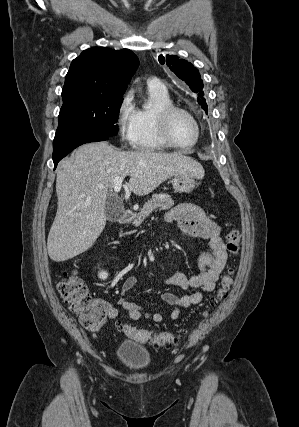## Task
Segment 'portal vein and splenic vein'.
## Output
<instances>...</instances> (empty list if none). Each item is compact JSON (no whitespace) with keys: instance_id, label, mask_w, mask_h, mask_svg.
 <instances>
[{"instance_id":"1","label":"portal vein and splenic vein","mask_w":299,"mask_h":427,"mask_svg":"<svg viewBox=\"0 0 299 427\" xmlns=\"http://www.w3.org/2000/svg\"><path fill=\"white\" fill-rule=\"evenodd\" d=\"M125 176L126 175L115 178L114 185H113V190H114L115 193H119L120 192L121 187H122L123 178ZM100 187H103V186H100Z\"/></svg>"}]
</instances>
